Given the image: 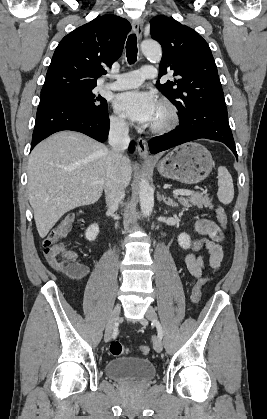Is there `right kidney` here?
I'll list each match as a JSON object with an SVG mask.
<instances>
[{"mask_svg":"<svg viewBox=\"0 0 267 419\" xmlns=\"http://www.w3.org/2000/svg\"><path fill=\"white\" fill-rule=\"evenodd\" d=\"M98 234H99L98 224H92L86 230L85 237L88 241H94Z\"/></svg>","mask_w":267,"mask_h":419,"instance_id":"1","label":"right kidney"}]
</instances>
